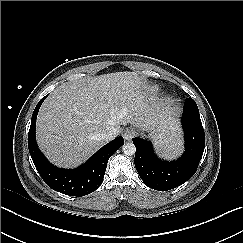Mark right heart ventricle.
Returning a JSON list of instances; mask_svg holds the SVG:
<instances>
[{
    "label": "right heart ventricle",
    "mask_w": 243,
    "mask_h": 243,
    "mask_svg": "<svg viewBox=\"0 0 243 243\" xmlns=\"http://www.w3.org/2000/svg\"><path fill=\"white\" fill-rule=\"evenodd\" d=\"M159 92H160V89L158 87H156V86L151 87L149 89V94L150 95H157Z\"/></svg>",
    "instance_id": "1"
}]
</instances>
